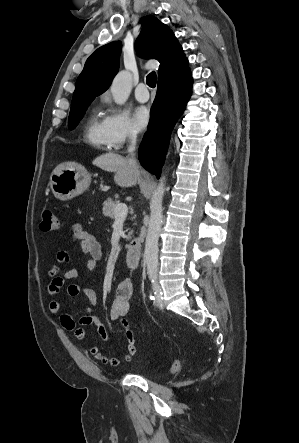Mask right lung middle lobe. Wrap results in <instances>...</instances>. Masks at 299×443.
<instances>
[{"label": "right lung middle lobe", "mask_w": 299, "mask_h": 443, "mask_svg": "<svg viewBox=\"0 0 299 443\" xmlns=\"http://www.w3.org/2000/svg\"><path fill=\"white\" fill-rule=\"evenodd\" d=\"M91 102L92 101L85 102L71 108L68 119V126L70 129H74L77 126Z\"/></svg>", "instance_id": "right-lung-middle-lobe-1"}]
</instances>
